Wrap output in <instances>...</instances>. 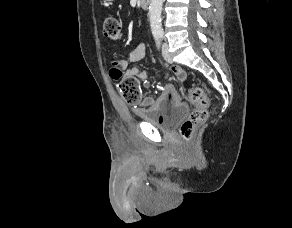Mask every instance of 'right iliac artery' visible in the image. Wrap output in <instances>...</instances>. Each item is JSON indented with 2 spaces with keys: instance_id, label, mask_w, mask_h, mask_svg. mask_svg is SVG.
<instances>
[{
  "instance_id": "1",
  "label": "right iliac artery",
  "mask_w": 292,
  "mask_h": 228,
  "mask_svg": "<svg viewBox=\"0 0 292 228\" xmlns=\"http://www.w3.org/2000/svg\"><path fill=\"white\" fill-rule=\"evenodd\" d=\"M157 47L160 48V36H155Z\"/></svg>"
}]
</instances>
